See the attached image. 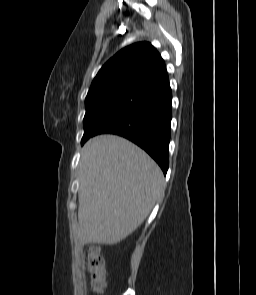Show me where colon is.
<instances>
[{
	"mask_svg": "<svg viewBox=\"0 0 256 295\" xmlns=\"http://www.w3.org/2000/svg\"><path fill=\"white\" fill-rule=\"evenodd\" d=\"M85 263L93 292L101 294L105 288V267L98 246L92 245L88 248Z\"/></svg>",
	"mask_w": 256,
	"mask_h": 295,
	"instance_id": "obj_1",
	"label": "colon"
}]
</instances>
